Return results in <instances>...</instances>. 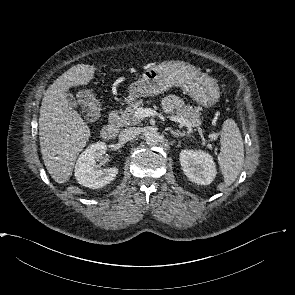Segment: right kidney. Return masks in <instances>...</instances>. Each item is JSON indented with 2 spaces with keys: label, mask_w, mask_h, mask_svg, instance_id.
Returning a JSON list of instances; mask_svg holds the SVG:
<instances>
[{
  "label": "right kidney",
  "mask_w": 295,
  "mask_h": 295,
  "mask_svg": "<svg viewBox=\"0 0 295 295\" xmlns=\"http://www.w3.org/2000/svg\"><path fill=\"white\" fill-rule=\"evenodd\" d=\"M107 151L105 142L91 144L83 151L75 165V178L77 182L89 188H102L111 183L118 174V168L95 169V159Z\"/></svg>",
  "instance_id": "right-kidney-1"
}]
</instances>
